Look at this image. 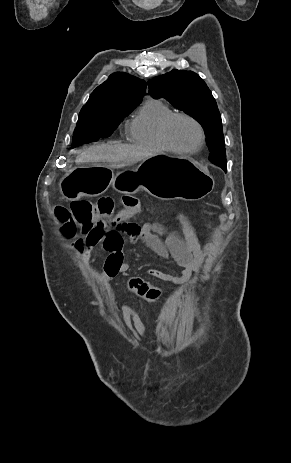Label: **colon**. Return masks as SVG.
I'll list each match as a JSON object with an SVG mask.
<instances>
[{
	"label": "colon",
	"instance_id": "colon-1",
	"mask_svg": "<svg viewBox=\"0 0 291 463\" xmlns=\"http://www.w3.org/2000/svg\"><path fill=\"white\" fill-rule=\"evenodd\" d=\"M138 207V201L129 196L120 200L101 197L95 202L74 200L69 207L57 206L55 215L61 223V235L67 239H72L78 229L83 233L95 229H114L122 215L127 216L131 209ZM143 214L147 218H153L157 214L158 217L167 219L171 215V209L167 205H160L157 209L153 205H147L143 209ZM128 288L148 302H155L160 298L158 289L138 277L129 280Z\"/></svg>",
	"mask_w": 291,
	"mask_h": 463
}]
</instances>
